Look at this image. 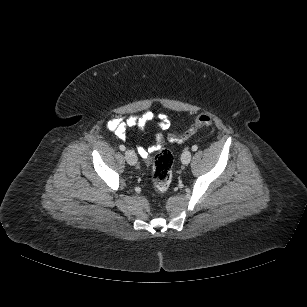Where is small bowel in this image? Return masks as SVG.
Here are the masks:
<instances>
[{"label":"small bowel","instance_id":"obj_1","mask_svg":"<svg viewBox=\"0 0 307 307\" xmlns=\"http://www.w3.org/2000/svg\"><path fill=\"white\" fill-rule=\"evenodd\" d=\"M153 119V114L150 111L145 112L141 116H130L129 118H120V117H115L111 120L108 121L107 123V128L114 132L120 139H125L127 130L132 127H139V128H144L150 121ZM159 122L157 123V126L162 129L166 130L170 126V122L167 118L166 115L160 114L159 115ZM163 139L161 135H157L155 144L149 148H143V147H138V153L139 155L147 159L149 158L150 154L157 151L160 149L162 146Z\"/></svg>","mask_w":307,"mask_h":307}]
</instances>
